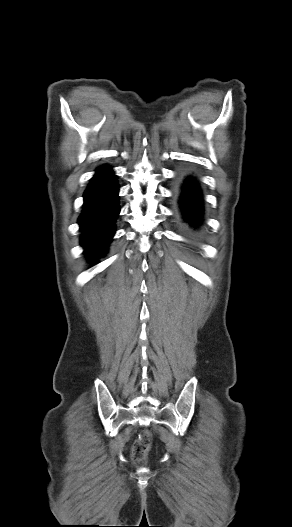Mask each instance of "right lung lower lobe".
Listing matches in <instances>:
<instances>
[{
	"mask_svg": "<svg viewBox=\"0 0 292 527\" xmlns=\"http://www.w3.org/2000/svg\"><path fill=\"white\" fill-rule=\"evenodd\" d=\"M84 193L83 212L78 223L83 233L81 245L89 257H99L115 233L119 214L116 176L108 166H101Z\"/></svg>",
	"mask_w": 292,
	"mask_h": 527,
	"instance_id": "98d812e1",
	"label": "right lung lower lobe"
}]
</instances>
